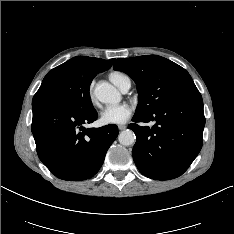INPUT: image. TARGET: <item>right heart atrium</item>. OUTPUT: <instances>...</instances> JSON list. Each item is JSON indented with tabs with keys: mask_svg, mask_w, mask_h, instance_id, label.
Segmentation results:
<instances>
[{
	"mask_svg": "<svg viewBox=\"0 0 234 234\" xmlns=\"http://www.w3.org/2000/svg\"><path fill=\"white\" fill-rule=\"evenodd\" d=\"M88 98L89 101L92 105L96 106L97 105V100L96 97L94 95V84H90L89 88H88Z\"/></svg>",
	"mask_w": 234,
	"mask_h": 234,
	"instance_id": "right-heart-atrium-1",
	"label": "right heart atrium"
}]
</instances>
